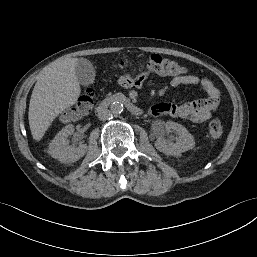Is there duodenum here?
<instances>
[{
	"mask_svg": "<svg viewBox=\"0 0 257 257\" xmlns=\"http://www.w3.org/2000/svg\"><path fill=\"white\" fill-rule=\"evenodd\" d=\"M114 102L123 103L127 107V109L136 116H139L142 114L141 108L138 105H136L133 101H131L128 97H126L122 94H114V95L104 98L98 104L97 109L98 110L106 109Z\"/></svg>",
	"mask_w": 257,
	"mask_h": 257,
	"instance_id": "obj_1",
	"label": "duodenum"
}]
</instances>
